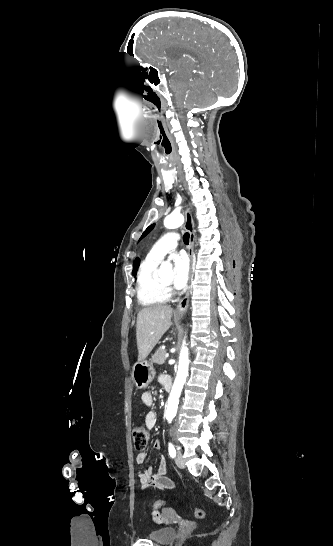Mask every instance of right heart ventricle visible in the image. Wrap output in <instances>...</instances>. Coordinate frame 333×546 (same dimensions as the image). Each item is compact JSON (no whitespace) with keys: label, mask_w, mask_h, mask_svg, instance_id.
<instances>
[{"label":"right heart ventricle","mask_w":333,"mask_h":546,"mask_svg":"<svg viewBox=\"0 0 333 546\" xmlns=\"http://www.w3.org/2000/svg\"><path fill=\"white\" fill-rule=\"evenodd\" d=\"M159 263L160 261L146 257L140 265L136 293L139 303L144 307L163 304L169 300V294L157 277Z\"/></svg>","instance_id":"1"}]
</instances>
